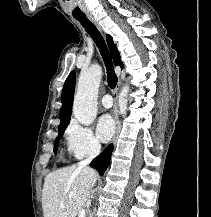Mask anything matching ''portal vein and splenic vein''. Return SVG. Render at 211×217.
I'll use <instances>...</instances> for the list:
<instances>
[{
    "mask_svg": "<svg viewBox=\"0 0 211 217\" xmlns=\"http://www.w3.org/2000/svg\"><path fill=\"white\" fill-rule=\"evenodd\" d=\"M63 207V206H62ZM85 210L82 209L80 212H79V217H85Z\"/></svg>",
    "mask_w": 211,
    "mask_h": 217,
    "instance_id": "1",
    "label": "portal vein and splenic vein"
}]
</instances>
